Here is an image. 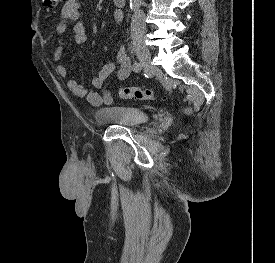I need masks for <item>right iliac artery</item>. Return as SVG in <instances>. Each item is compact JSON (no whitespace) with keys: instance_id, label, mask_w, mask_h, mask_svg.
Instances as JSON below:
<instances>
[{"instance_id":"obj_1","label":"right iliac artery","mask_w":275,"mask_h":263,"mask_svg":"<svg viewBox=\"0 0 275 263\" xmlns=\"http://www.w3.org/2000/svg\"><path fill=\"white\" fill-rule=\"evenodd\" d=\"M130 49H131V53H133V49H132V46H130ZM141 70V64L137 61H134L133 63V71L135 72H138Z\"/></svg>"}]
</instances>
